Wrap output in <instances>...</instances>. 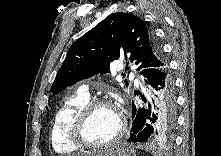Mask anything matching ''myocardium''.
Masks as SVG:
<instances>
[{
  "label": "myocardium",
  "instance_id": "obj_1",
  "mask_svg": "<svg viewBox=\"0 0 221 156\" xmlns=\"http://www.w3.org/2000/svg\"><path fill=\"white\" fill-rule=\"evenodd\" d=\"M102 107L112 108L116 111V107L110 101L103 99H95V100H89L86 104H84L72 118L69 125L68 136L70 141L78 148H85V149L108 148L116 144L124 135L126 130V124L122 116L116 111L119 117V129L110 140L104 143H92L86 140L84 136L85 125L91 114L95 110Z\"/></svg>",
  "mask_w": 221,
  "mask_h": 156
}]
</instances>
